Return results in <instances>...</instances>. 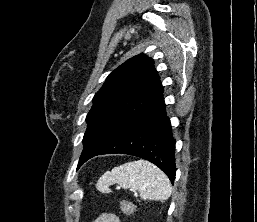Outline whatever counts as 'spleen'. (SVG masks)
<instances>
[{
  "mask_svg": "<svg viewBox=\"0 0 257 222\" xmlns=\"http://www.w3.org/2000/svg\"><path fill=\"white\" fill-rule=\"evenodd\" d=\"M118 184L124 189L138 190L143 200L166 201L171 195L168 177L155 165L145 160L124 163L106 172L96 184L97 190L110 193L109 188Z\"/></svg>",
  "mask_w": 257,
  "mask_h": 222,
  "instance_id": "spleen-1",
  "label": "spleen"
}]
</instances>
